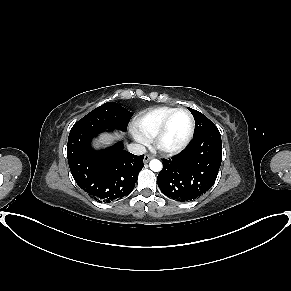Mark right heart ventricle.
Wrapping results in <instances>:
<instances>
[{
	"label": "right heart ventricle",
	"instance_id": "e07e8e85",
	"mask_svg": "<svg viewBox=\"0 0 291 291\" xmlns=\"http://www.w3.org/2000/svg\"><path fill=\"white\" fill-rule=\"evenodd\" d=\"M175 109L163 106L149 110L136 119V127L146 139H153L165 118Z\"/></svg>",
	"mask_w": 291,
	"mask_h": 291
}]
</instances>
